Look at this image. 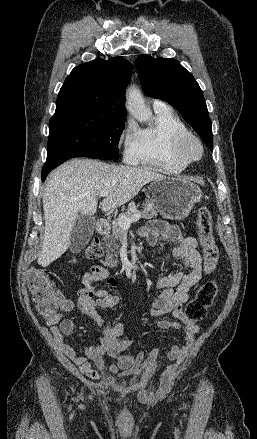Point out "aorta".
<instances>
[{
  "label": "aorta",
  "mask_w": 257,
  "mask_h": 439,
  "mask_svg": "<svg viewBox=\"0 0 257 439\" xmlns=\"http://www.w3.org/2000/svg\"><path fill=\"white\" fill-rule=\"evenodd\" d=\"M126 107L130 114L140 122H146L152 116L151 110L145 105L140 91L136 88L129 90Z\"/></svg>",
  "instance_id": "aorta-1"
}]
</instances>
